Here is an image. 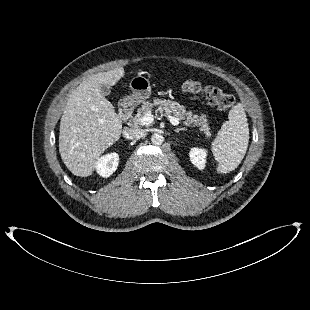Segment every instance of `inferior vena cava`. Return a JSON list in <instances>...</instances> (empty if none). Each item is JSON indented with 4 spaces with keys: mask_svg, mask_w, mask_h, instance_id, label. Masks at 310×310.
<instances>
[{
    "mask_svg": "<svg viewBox=\"0 0 310 310\" xmlns=\"http://www.w3.org/2000/svg\"><path fill=\"white\" fill-rule=\"evenodd\" d=\"M142 133V130L133 128H125V130L123 131L124 137L128 139H138L141 137Z\"/></svg>",
    "mask_w": 310,
    "mask_h": 310,
    "instance_id": "inferior-vena-cava-1",
    "label": "inferior vena cava"
}]
</instances>
